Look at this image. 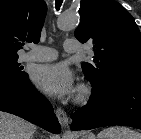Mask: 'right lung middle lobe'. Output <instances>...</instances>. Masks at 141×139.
I'll return each instance as SVG.
<instances>
[{
	"label": "right lung middle lobe",
	"instance_id": "obj_1",
	"mask_svg": "<svg viewBox=\"0 0 141 139\" xmlns=\"http://www.w3.org/2000/svg\"><path fill=\"white\" fill-rule=\"evenodd\" d=\"M18 63V56H0V83L18 82L28 77Z\"/></svg>",
	"mask_w": 141,
	"mask_h": 139
}]
</instances>
